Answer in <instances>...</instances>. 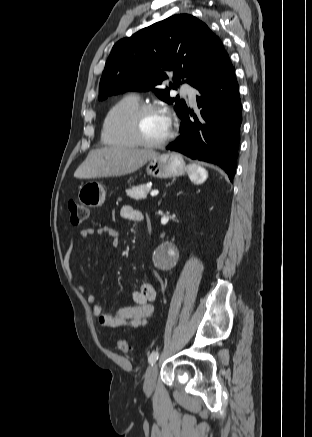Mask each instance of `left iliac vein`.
<instances>
[{
  "mask_svg": "<svg viewBox=\"0 0 312 437\" xmlns=\"http://www.w3.org/2000/svg\"><path fill=\"white\" fill-rule=\"evenodd\" d=\"M157 374H158L157 364H153L147 369L145 375V381H144V391L147 394H151L153 392L156 385Z\"/></svg>",
  "mask_w": 312,
  "mask_h": 437,
  "instance_id": "1",
  "label": "left iliac vein"
}]
</instances>
